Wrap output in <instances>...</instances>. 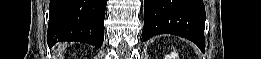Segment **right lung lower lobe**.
Segmentation results:
<instances>
[{
  "instance_id": "right-lung-lower-lobe-1",
  "label": "right lung lower lobe",
  "mask_w": 261,
  "mask_h": 59,
  "mask_svg": "<svg viewBox=\"0 0 261 59\" xmlns=\"http://www.w3.org/2000/svg\"><path fill=\"white\" fill-rule=\"evenodd\" d=\"M107 0H51L47 42L79 41L101 47Z\"/></svg>"
}]
</instances>
